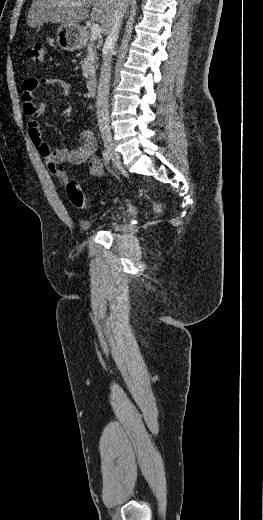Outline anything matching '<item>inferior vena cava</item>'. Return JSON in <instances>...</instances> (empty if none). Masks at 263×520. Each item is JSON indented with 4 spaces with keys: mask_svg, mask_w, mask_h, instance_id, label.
<instances>
[{
    "mask_svg": "<svg viewBox=\"0 0 263 520\" xmlns=\"http://www.w3.org/2000/svg\"><path fill=\"white\" fill-rule=\"evenodd\" d=\"M116 2L118 7L114 13V18L112 20L111 27L107 32V38L102 49L103 62L100 71L96 100L98 126L102 133L110 132L108 102L109 82L111 77V59L117 38L119 36V30L122 24V17L124 14V0H116Z\"/></svg>",
    "mask_w": 263,
    "mask_h": 520,
    "instance_id": "inferior-vena-cava-1",
    "label": "inferior vena cava"
}]
</instances>
